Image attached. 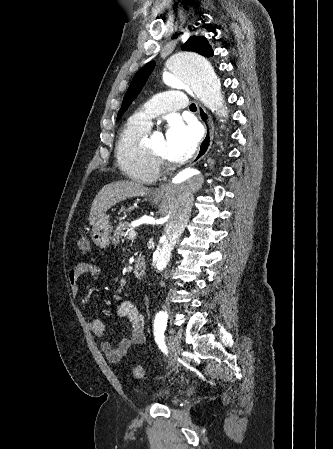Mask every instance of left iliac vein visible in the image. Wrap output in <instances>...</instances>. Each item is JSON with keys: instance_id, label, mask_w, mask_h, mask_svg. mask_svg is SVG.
Masks as SVG:
<instances>
[{"instance_id": "obj_1", "label": "left iliac vein", "mask_w": 333, "mask_h": 449, "mask_svg": "<svg viewBox=\"0 0 333 449\" xmlns=\"http://www.w3.org/2000/svg\"><path fill=\"white\" fill-rule=\"evenodd\" d=\"M168 345L173 354L174 359H177L180 355V337L177 334H171L168 336Z\"/></svg>"}]
</instances>
